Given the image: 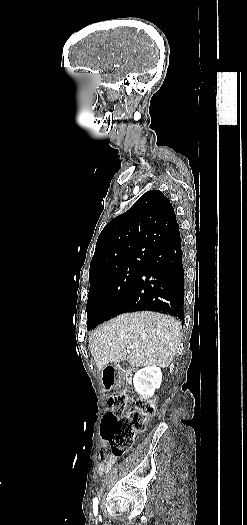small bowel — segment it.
<instances>
[{"label": "small bowel", "instance_id": "obj_1", "mask_svg": "<svg viewBox=\"0 0 247 525\" xmlns=\"http://www.w3.org/2000/svg\"><path fill=\"white\" fill-rule=\"evenodd\" d=\"M100 455L104 460L100 463L98 467V474L102 475L108 473L113 465L116 463L117 459L115 456L110 455L107 452V443L105 440H102L100 443Z\"/></svg>", "mask_w": 247, "mask_h": 525}]
</instances>
